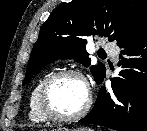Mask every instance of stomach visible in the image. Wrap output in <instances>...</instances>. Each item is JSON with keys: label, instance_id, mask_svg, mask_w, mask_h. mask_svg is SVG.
Wrapping results in <instances>:
<instances>
[{"label": "stomach", "instance_id": "stomach-1", "mask_svg": "<svg viewBox=\"0 0 147 131\" xmlns=\"http://www.w3.org/2000/svg\"><path fill=\"white\" fill-rule=\"evenodd\" d=\"M53 131H94L93 129L90 128H75V129H67L64 127H60L58 129H55Z\"/></svg>", "mask_w": 147, "mask_h": 131}]
</instances>
